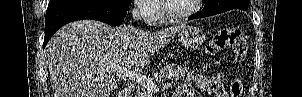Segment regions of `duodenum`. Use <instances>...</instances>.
I'll return each mask as SVG.
<instances>
[{"label":"duodenum","instance_id":"1","mask_svg":"<svg viewBox=\"0 0 302 97\" xmlns=\"http://www.w3.org/2000/svg\"><path fill=\"white\" fill-rule=\"evenodd\" d=\"M117 97H131V91L130 89L126 88L124 90H122ZM177 97V95H176Z\"/></svg>","mask_w":302,"mask_h":97}]
</instances>
